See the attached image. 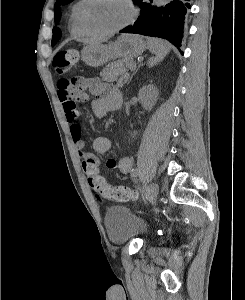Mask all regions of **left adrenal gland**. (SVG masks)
Here are the masks:
<instances>
[{
    "label": "left adrenal gland",
    "instance_id": "a2214340",
    "mask_svg": "<svg viewBox=\"0 0 245 300\" xmlns=\"http://www.w3.org/2000/svg\"><path fill=\"white\" fill-rule=\"evenodd\" d=\"M140 66H141V65H139L138 68L136 69V71L131 75V77H130V79H129V82L131 81L133 75L136 74V72L138 71V69L140 68ZM129 82H128V83H129Z\"/></svg>",
    "mask_w": 245,
    "mask_h": 300
}]
</instances>
